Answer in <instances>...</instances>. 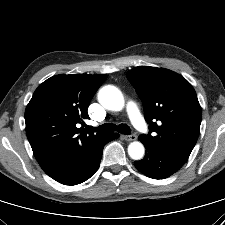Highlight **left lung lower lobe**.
Here are the masks:
<instances>
[{
    "label": "left lung lower lobe",
    "mask_w": 225,
    "mask_h": 225,
    "mask_svg": "<svg viewBox=\"0 0 225 225\" xmlns=\"http://www.w3.org/2000/svg\"><path fill=\"white\" fill-rule=\"evenodd\" d=\"M146 148L145 157L135 161V167L153 179H164L177 172L187 160L139 139Z\"/></svg>",
    "instance_id": "1"
}]
</instances>
